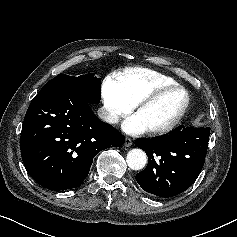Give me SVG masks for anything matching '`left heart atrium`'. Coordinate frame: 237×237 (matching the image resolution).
<instances>
[{
  "label": "left heart atrium",
  "mask_w": 237,
  "mask_h": 237,
  "mask_svg": "<svg viewBox=\"0 0 237 237\" xmlns=\"http://www.w3.org/2000/svg\"><path fill=\"white\" fill-rule=\"evenodd\" d=\"M122 128L126 133L129 134H139L146 131L145 125L138 118L136 114L128 117L122 124Z\"/></svg>",
  "instance_id": "1"
}]
</instances>
